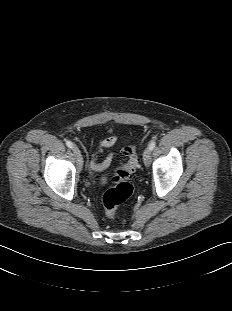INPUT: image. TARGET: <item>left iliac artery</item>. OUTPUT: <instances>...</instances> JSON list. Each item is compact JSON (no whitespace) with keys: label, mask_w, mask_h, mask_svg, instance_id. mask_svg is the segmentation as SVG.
<instances>
[{"label":"left iliac artery","mask_w":232,"mask_h":311,"mask_svg":"<svg viewBox=\"0 0 232 311\" xmlns=\"http://www.w3.org/2000/svg\"><path fill=\"white\" fill-rule=\"evenodd\" d=\"M155 146H156V141H155V140H152V141L150 142V144H149L150 150H153V149L155 148Z\"/></svg>","instance_id":"1"}]
</instances>
